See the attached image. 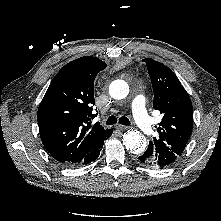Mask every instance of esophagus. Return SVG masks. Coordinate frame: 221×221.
<instances>
[{
  "label": "esophagus",
  "instance_id": "1",
  "mask_svg": "<svg viewBox=\"0 0 221 221\" xmlns=\"http://www.w3.org/2000/svg\"><path fill=\"white\" fill-rule=\"evenodd\" d=\"M115 128H116V129H119V130H125V129H127L128 127H127V126H124V125H121V124H116Z\"/></svg>",
  "mask_w": 221,
  "mask_h": 221
}]
</instances>
